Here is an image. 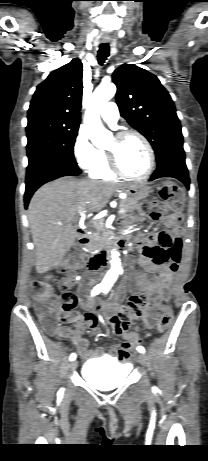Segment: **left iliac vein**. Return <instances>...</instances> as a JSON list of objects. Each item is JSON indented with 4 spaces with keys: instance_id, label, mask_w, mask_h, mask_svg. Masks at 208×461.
<instances>
[{
    "instance_id": "1",
    "label": "left iliac vein",
    "mask_w": 208,
    "mask_h": 461,
    "mask_svg": "<svg viewBox=\"0 0 208 461\" xmlns=\"http://www.w3.org/2000/svg\"><path fill=\"white\" fill-rule=\"evenodd\" d=\"M138 361L144 366H146L148 364V359H147V356L145 354H139L138 355Z\"/></svg>"
}]
</instances>
